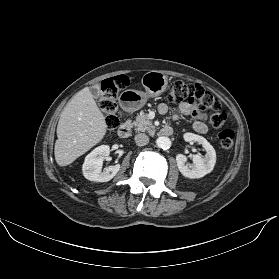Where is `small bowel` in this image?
Masks as SVG:
<instances>
[{"mask_svg": "<svg viewBox=\"0 0 279 279\" xmlns=\"http://www.w3.org/2000/svg\"><path fill=\"white\" fill-rule=\"evenodd\" d=\"M158 111L160 114H166L169 111V107L167 104L161 103L158 106ZM190 114H193V109L191 106L188 103H181L172 114V118L176 120L180 115L187 116ZM192 127L196 132L201 134H205L208 131L207 125L201 121H194Z\"/></svg>", "mask_w": 279, "mask_h": 279, "instance_id": "obj_1", "label": "small bowel"}]
</instances>
